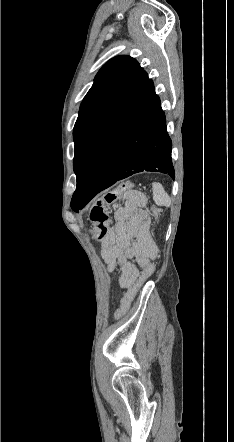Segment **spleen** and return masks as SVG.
Instances as JSON below:
<instances>
[{
	"label": "spleen",
	"instance_id": "1",
	"mask_svg": "<svg viewBox=\"0 0 234 442\" xmlns=\"http://www.w3.org/2000/svg\"><path fill=\"white\" fill-rule=\"evenodd\" d=\"M152 186H153V200H154V202L158 206L169 207L171 205V198L165 192L163 186L158 182H154L152 184Z\"/></svg>",
	"mask_w": 234,
	"mask_h": 442
}]
</instances>
